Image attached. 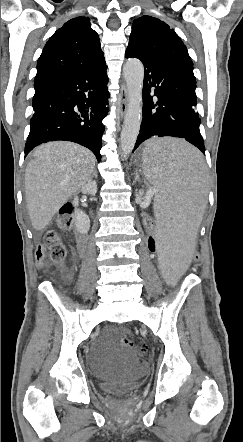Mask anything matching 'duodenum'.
<instances>
[{"mask_svg": "<svg viewBox=\"0 0 243 442\" xmlns=\"http://www.w3.org/2000/svg\"><path fill=\"white\" fill-rule=\"evenodd\" d=\"M79 248L83 251L86 248V236L84 234L79 233L77 235Z\"/></svg>", "mask_w": 243, "mask_h": 442, "instance_id": "1", "label": "duodenum"}]
</instances>
